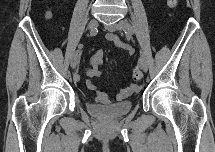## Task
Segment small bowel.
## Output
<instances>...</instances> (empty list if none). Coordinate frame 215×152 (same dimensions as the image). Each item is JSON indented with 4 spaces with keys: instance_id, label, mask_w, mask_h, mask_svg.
Here are the masks:
<instances>
[{
    "instance_id": "1",
    "label": "small bowel",
    "mask_w": 215,
    "mask_h": 152,
    "mask_svg": "<svg viewBox=\"0 0 215 152\" xmlns=\"http://www.w3.org/2000/svg\"><path fill=\"white\" fill-rule=\"evenodd\" d=\"M106 39L112 42L118 49L126 51L128 54L132 55L134 50L131 46L124 43L115 34H107ZM103 65V51L101 49L95 51L88 60V67L85 70V74L90 78L86 81V86L88 89L94 92V100L99 103H107L109 101L108 95L101 89H99L92 81L91 78H99L102 74ZM80 76L76 74L74 80L78 81ZM140 87L137 84H130L123 88L119 94L118 98L124 99L136 92H138Z\"/></svg>"
}]
</instances>
